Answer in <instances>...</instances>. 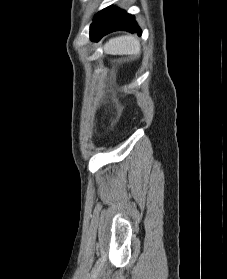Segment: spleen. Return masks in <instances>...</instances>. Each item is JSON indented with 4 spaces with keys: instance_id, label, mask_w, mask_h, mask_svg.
<instances>
[{
    "instance_id": "3e777b00",
    "label": "spleen",
    "mask_w": 227,
    "mask_h": 279,
    "mask_svg": "<svg viewBox=\"0 0 227 279\" xmlns=\"http://www.w3.org/2000/svg\"><path fill=\"white\" fill-rule=\"evenodd\" d=\"M107 54L133 55L140 53V43L134 36H121L110 39L104 46Z\"/></svg>"
}]
</instances>
